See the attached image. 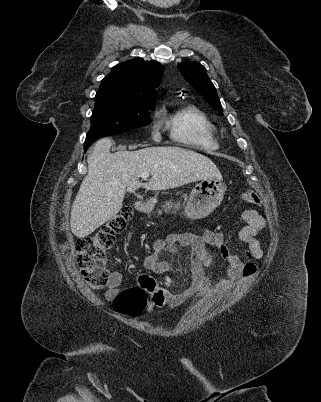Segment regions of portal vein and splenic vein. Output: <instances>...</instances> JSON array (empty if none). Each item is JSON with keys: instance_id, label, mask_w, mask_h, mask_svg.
<instances>
[{"instance_id": "obj_1", "label": "portal vein and splenic vein", "mask_w": 321, "mask_h": 402, "mask_svg": "<svg viewBox=\"0 0 321 402\" xmlns=\"http://www.w3.org/2000/svg\"><path fill=\"white\" fill-rule=\"evenodd\" d=\"M148 177H149V173H148V172H143V173H141V178L147 179Z\"/></svg>"}]
</instances>
